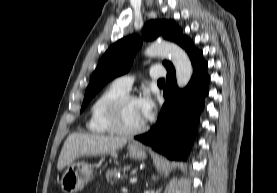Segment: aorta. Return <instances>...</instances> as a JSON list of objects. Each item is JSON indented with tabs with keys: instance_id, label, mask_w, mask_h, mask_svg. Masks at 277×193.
<instances>
[{
	"instance_id": "obj_1",
	"label": "aorta",
	"mask_w": 277,
	"mask_h": 193,
	"mask_svg": "<svg viewBox=\"0 0 277 193\" xmlns=\"http://www.w3.org/2000/svg\"><path fill=\"white\" fill-rule=\"evenodd\" d=\"M149 57H168L176 70V80L179 88H184L192 76V64L187 53L178 45L170 42H155L145 50Z\"/></svg>"
}]
</instances>
